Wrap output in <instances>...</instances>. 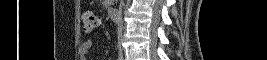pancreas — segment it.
Returning a JSON list of instances; mask_svg holds the SVG:
<instances>
[{
    "instance_id": "1",
    "label": "pancreas",
    "mask_w": 267,
    "mask_h": 60,
    "mask_svg": "<svg viewBox=\"0 0 267 60\" xmlns=\"http://www.w3.org/2000/svg\"><path fill=\"white\" fill-rule=\"evenodd\" d=\"M103 1L107 6H110L112 4L111 0H103Z\"/></svg>"
}]
</instances>
